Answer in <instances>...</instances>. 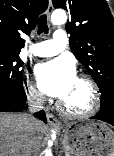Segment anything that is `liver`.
Here are the masks:
<instances>
[{
  "mask_svg": "<svg viewBox=\"0 0 114 156\" xmlns=\"http://www.w3.org/2000/svg\"><path fill=\"white\" fill-rule=\"evenodd\" d=\"M45 124L28 115L0 113V156H24L39 145Z\"/></svg>",
  "mask_w": 114,
  "mask_h": 156,
  "instance_id": "obj_1",
  "label": "liver"
}]
</instances>
